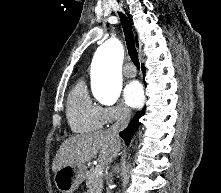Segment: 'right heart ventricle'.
Listing matches in <instances>:
<instances>
[{"instance_id": "right-heart-ventricle-1", "label": "right heart ventricle", "mask_w": 221, "mask_h": 193, "mask_svg": "<svg viewBox=\"0 0 221 193\" xmlns=\"http://www.w3.org/2000/svg\"><path fill=\"white\" fill-rule=\"evenodd\" d=\"M67 117L75 132L95 131L101 129L104 124L103 107L91 99L82 80L74 86L68 96Z\"/></svg>"}]
</instances>
